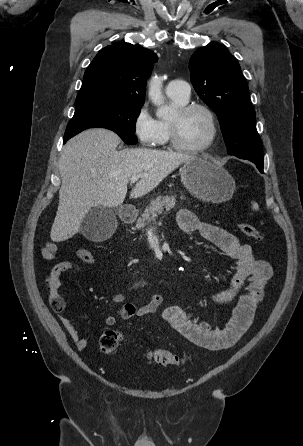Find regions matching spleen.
Segmentation results:
<instances>
[{
	"mask_svg": "<svg viewBox=\"0 0 303 446\" xmlns=\"http://www.w3.org/2000/svg\"><path fill=\"white\" fill-rule=\"evenodd\" d=\"M252 209L257 211L259 209L258 204L255 202H252Z\"/></svg>",
	"mask_w": 303,
	"mask_h": 446,
	"instance_id": "3e777b00",
	"label": "spleen"
}]
</instances>
